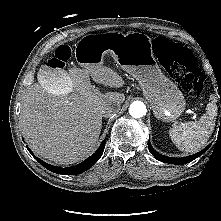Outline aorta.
<instances>
[{"instance_id": "aorta-1", "label": "aorta", "mask_w": 221, "mask_h": 221, "mask_svg": "<svg viewBox=\"0 0 221 221\" xmlns=\"http://www.w3.org/2000/svg\"><path fill=\"white\" fill-rule=\"evenodd\" d=\"M147 112L146 106L141 101H134L131 103L129 113L133 118H140Z\"/></svg>"}]
</instances>
